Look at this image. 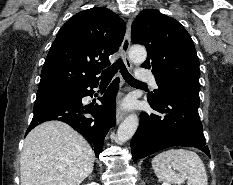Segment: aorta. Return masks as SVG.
<instances>
[{"mask_svg": "<svg viewBox=\"0 0 233 185\" xmlns=\"http://www.w3.org/2000/svg\"><path fill=\"white\" fill-rule=\"evenodd\" d=\"M147 52L143 46H132L129 50V58L134 63H143L146 60ZM139 125V119L136 114H130L119 126L117 130V139L119 142H125L132 138Z\"/></svg>", "mask_w": 233, "mask_h": 185, "instance_id": "obj_1", "label": "aorta"}]
</instances>
